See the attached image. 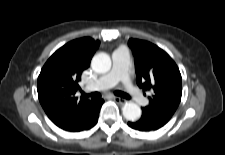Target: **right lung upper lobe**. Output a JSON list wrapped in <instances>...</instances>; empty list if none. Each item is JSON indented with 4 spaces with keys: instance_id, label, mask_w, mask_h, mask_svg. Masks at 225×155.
I'll return each mask as SVG.
<instances>
[{
    "instance_id": "obj_1",
    "label": "right lung upper lobe",
    "mask_w": 225,
    "mask_h": 155,
    "mask_svg": "<svg viewBox=\"0 0 225 155\" xmlns=\"http://www.w3.org/2000/svg\"><path fill=\"white\" fill-rule=\"evenodd\" d=\"M98 47L89 37L73 40L58 49L38 77V98L50 120L62 129L75 125L94 101L75 96L82 72Z\"/></svg>"
}]
</instances>
